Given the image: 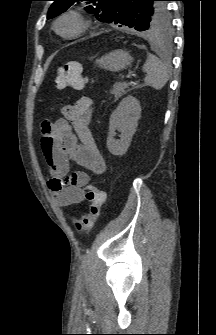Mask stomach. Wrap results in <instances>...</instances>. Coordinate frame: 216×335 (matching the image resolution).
<instances>
[{
  "label": "stomach",
  "mask_w": 216,
  "mask_h": 335,
  "mask_svg": "<svg viewBox=\"0 0 216 335\" xmlns=\"http://www.w3.org/2000/svg\"><path fill=\"white\" fill-rule=\"evenodd\" d=\"M132 61L133 58L127 51L116 50L97 59L96 64L102 69L116 72L128 67Z\"/></svg>",
  "instance_id": "stomach-1"
}]
</instances>
